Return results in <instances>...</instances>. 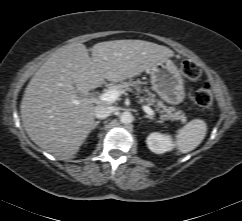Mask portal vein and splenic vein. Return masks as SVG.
<instances>
[{
  "label": "portal vein and splenic vein",
  "mask_w": 242,
  "mask_h": 221,
  "mask_svg": "<svg viewBox=\"0 0 242 221\" xmlns=\"http://www.w3.org/2000/svg\"><path fill=\"white\" fill-rule=\"evenodd\" d=\"M119 96H120V92L116 89H113V90H108L105 93L100 94L98 96V100H100L102 102L113 103L118 99ZM142 108L147 114H149L151 116L155 115L154 111L149 106L143 105Z\"/></svg>",
  "instance_id": "1"
}]
</instances>
